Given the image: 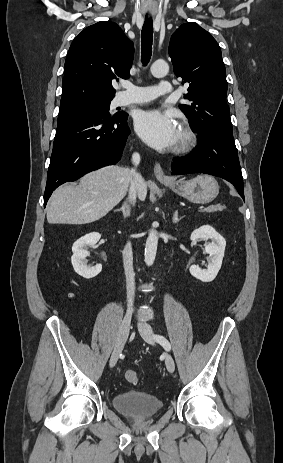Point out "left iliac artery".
Here are the masks:
<instances>
[{
  "mask_svg": "<svg viewBox=\"0 0 283 463\" xmlns=\"http://www.w3.org/2000/svg\"><path fill=\"white\" fill-rule=\"evenodd\" d=\"M154 339L158 343H160L166 350L171 349V345H170L169 341L165 337H163L161 335H154Z\"/></svg>",
  "mask_w": 283,
  "mask_h": 463,
  "instance_id": "obj_1",
  "label": "left iliac artery"
}]
</instances>
